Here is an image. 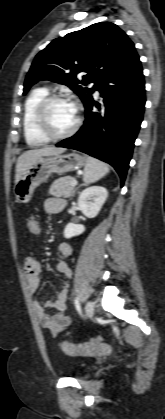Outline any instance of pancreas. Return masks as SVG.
I'll use <instances>...</instances> for the list:
<instances>
[{
  "label": "pancreas",
  "instance_id": "pancreas-1",
  "mask_svg": "<svg viewBox=\"0 0 165 419\" xmlns=\"http://www.w3.org/2000/svg\"><path fill=\"white\" fill-rule=\"evenodd\" d=\"M72 180L74 178L71 176L56 179L49 189V194L56 197L69 198L74 192V187L70 185Z\"/></svg>",
  "mask_w": 165,
  "mask_h": 419
}]
</instances>
